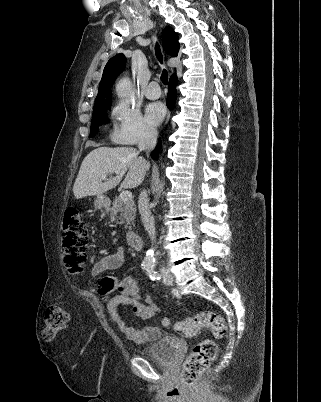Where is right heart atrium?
<instances>
[{
    "mask_svg": "<svg viewBox=\"0 0 321 402\" xmlns=\"http://www.w3.org/2000/svg\"><path fill=\"white\" fill-rule=\"evenodd\" d=\"M112 137L124 145H139L152 142L156 130L145 120L139 109L129 102L120 101L111 110Z\"/></svg>",
    "mask_w": 321,
    "mask_h": 402,
    "instance_id": "right-heart-atrium-1",
    "label": "right heart atrium"
}]
</instances>
